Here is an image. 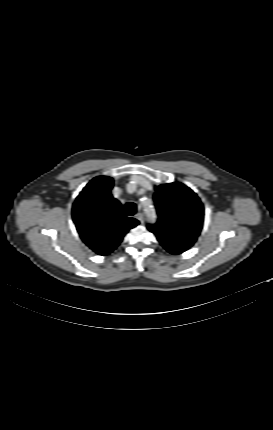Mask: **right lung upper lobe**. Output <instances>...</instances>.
Segmentation results:
<instances>
[{"label":"right lung upper lobe","mask_w":273,"mask_h":430,"mask_svg":"<svg viewBox=\"0 0 273 430\" xmlns=\"http://www.w3.org/2000/svg\"><path fill=\"white\" fill-rule=\"evenodd\" d=\"M113 179H92L76 198L72 217L83 242L99 255L110 254L129 229L139 222L123 214L120 202L112 197Z\"/></svg>","instance_id":"cb5924a9"}]
</instances>
